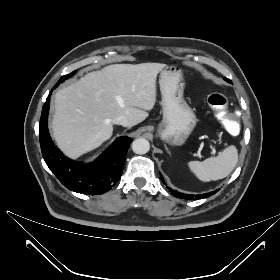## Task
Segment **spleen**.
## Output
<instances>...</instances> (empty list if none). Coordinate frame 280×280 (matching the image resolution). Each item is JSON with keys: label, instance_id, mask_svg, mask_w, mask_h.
<instances>
[{"label": "spleen", "instance_id": "1", "mask_svg": "<svg viewBox=\"0 0 280 280\" xmlns=\"http://www.w3.org/2000/svg\"><path fill=\"white\" fill-rule=\"evenodd\" d=\"M238 161V151L234 145L224 149L218 156L204 161H190L191 171L203 182L216 181L227 177Z\"/></svg>", "mask_w": 280, "mask_h": 280}]
</instances>
